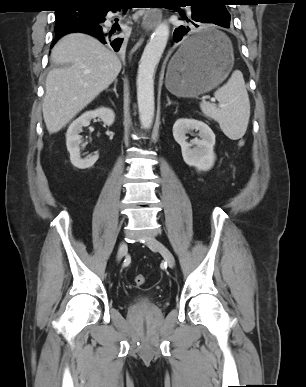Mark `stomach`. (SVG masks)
<instances>
[{
    "instance_id": "stomach-1",
    "label": "stomach",
    "mask_w": 306,
    "mask_h": 387,
    "mask_svg": "<svg viewBox=\"0 0 306 387\" xmlns=\"http://www.w3.org/2000/svg\"><path fill=\"white\" fill-rule=\"evenodd\" d=\"M211 31L215 39L209 52L185 59L180 48L171 58L165 85L172 94L178 97L204 94L219 85L232 70L234 55L230 40L221 32Z\"/></svg>"
}]
</instances>
